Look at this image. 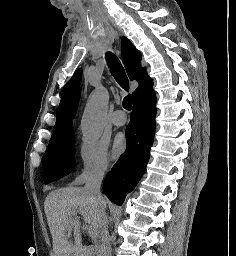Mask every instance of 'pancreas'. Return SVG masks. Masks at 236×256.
<instances>
[{
	"label": "pancreas",
	"mask_w": 236,
	"mask_h": 256,
	"mask_svg": "<svg viewBox=\"0 0 236 256\" xmlns=\"http://www.w3.org/2000/svg\"><path fill=\"white\" fill-rule=\"evenodd\" d=\"M92 241H93V242H100V241H101V238H100V237H93V238H92Z\"/></svg>",
	"instance_id": "pancreas-1"
}]
</instances>
